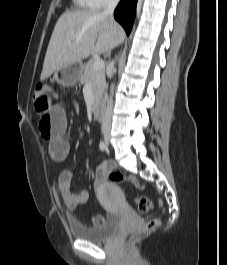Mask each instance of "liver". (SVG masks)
Listing matches in <instances>:
<instances>
[{
	"instance_id": "obj_1",
	"label": "liver",
	"mask_w": 227,
	"mask_h": 265,
	"mask_svg": "<svg viewBox=\"0 0 227 265\" xmlns=\"http://www.w3.org/2000/svg\"><path fill=\"white\" fill-rule=\"evenodd\" d=\"M124 37L123 28L103 13L91 10L63 13L49 41L41 80L90 55L109 53Z\"/></svg>"
}]
</instances>
